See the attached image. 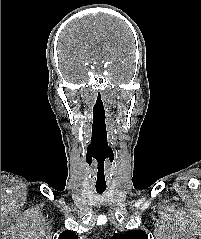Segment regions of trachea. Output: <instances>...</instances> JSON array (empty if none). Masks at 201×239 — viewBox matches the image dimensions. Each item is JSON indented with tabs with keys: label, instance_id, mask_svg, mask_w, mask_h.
Masks as SVG:
<instances>
[{
	"label": "trachea",
	"instance_id": "1",
	"mask_svg": "<svg viewBox=\"0 0 201 239\" xmlns=\"http://www.w3.org/2000/svg\"><path fill=\"white\" fill-rule=\"evenodd\" d=\"M106 190V186H96V191L99 194H102Z\"/></svg>",
	"mask_w": 201,
	"mask_h": 239
}]
</instances>
